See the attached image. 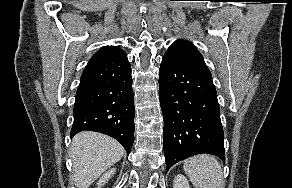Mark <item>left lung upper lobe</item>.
<instances>
[{
    "label": "left lung upper lobe",
    "mask_w": 292,
    "mask_h": 188,
    "mask_svg": "<svg viewBox=\"0 0 292 188\" xmlns=\"http://www.w3.org/2000/svg\"><path fill=\"white\" fill-rule=\"evenodd\" d=\"M164 56L196 69L199 72L211 75L201 53L189 41L182 39L175 41Z\"/></svg>",
    "instance_id": "1"
}]
</instances>
